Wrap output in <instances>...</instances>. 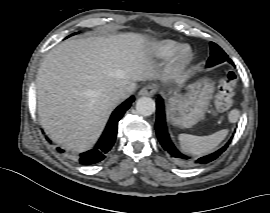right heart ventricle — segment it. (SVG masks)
Returning a JSON list of instances; mask_svg holds the SVG:
<instances>
[{"mask_svg":"<svg viewBox=\"0 0 270 213\" xmlns=\"http://www.w3.org/2000/svg\"><path fill=\"white\" fill-rule=\"evenodd\" d=\"M176 45V42L172 40H158L150 45L149 54L152 58H167L172 54Z\"/></svg>","mask_w":270,"mask_h":213,"instance_id":"right-heart-ventricle-1","label":"right heart ventricle"}]
</instances>
